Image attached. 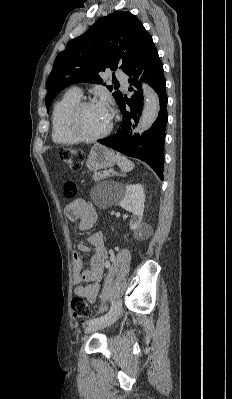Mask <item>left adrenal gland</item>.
I'll list each match as a JSON object with an SVG mask.
<instances>
[{"label": "left adrenal gland", "mask_w": 232, "mask_h": 399, "mask_svg": "<svg viewBox=\"0 0 232 399\" xmlns=\"http://www.w3.org/2000/svg\"><path fill=\"white\" fill-rule=\"evenodd\" d=\"M112 176H123L124 178V174H118V172H112Z\"/></svg>", "instance_id": "1"}]
</instances>
